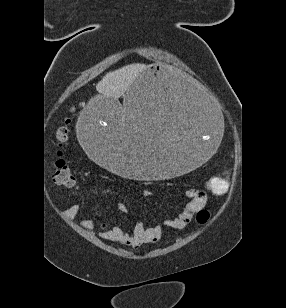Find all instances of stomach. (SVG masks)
<instances>
[{"label":"stomach","instance_id":"obj_1","mask_svg":"<svg viewBox=\"0 0 286 308\" xmlns=\"http://www.w3.org/2000/svg\"><path fill=\"white\" fill-rule=\"evenodd\" d=\"M118 97L94 93L79 109L78 141L90 161L128 182H167L203 168L222 144L223 112L208 91L152 60ZM159 65V66H158Z\"/></svg>","mask_w":286,"mask_h":308}]
</instances>
